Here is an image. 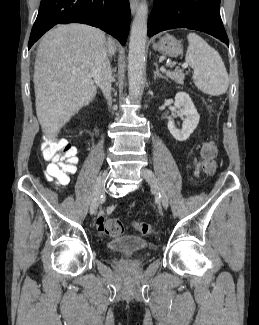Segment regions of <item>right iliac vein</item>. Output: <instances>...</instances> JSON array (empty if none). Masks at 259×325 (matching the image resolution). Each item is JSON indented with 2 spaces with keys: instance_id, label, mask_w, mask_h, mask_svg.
I'll return each instance as SVG.
<instances>
[{
  "instance_id": "obj_1",
  "label": "right iliac vein",
  "mask_w": 259,
  "mask_h": 325,
  "mask_svg": "<svg viewBox=\"0 0 259 325\" xmlns=\"http://www.w3.org/2000/svg\"><path fill=\"white\" fill-rule=\"evenodd\" d=\"M107 178H108V173L107 171H104L97 179V183H96L97 192L96 193L94 192V196L90 204V214H94L99 207L100 199L105 192V184Z\"/></svg>"
}]
</instances>
